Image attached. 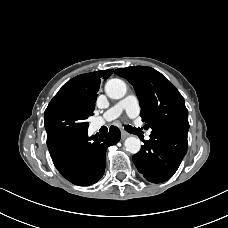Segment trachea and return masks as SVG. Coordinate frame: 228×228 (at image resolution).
Masks as SVG:
<instances>
[{
    "label": "trachea",
    "instance_id": "trachea-1",
    "mask_svg": "<svg viewBox=\"0 0 228 228\" xmlns=\"http://www.w3.org/2000/svg\"><path fill=\"white\" fill-rule=\"evenodd\" d=\"M124 127H125V129H126L128 132L132 129V127L129 126V125H125Z\"/></svg>",
    "mask_w": 228,
    "mask_h": 228
}]
</instances>
